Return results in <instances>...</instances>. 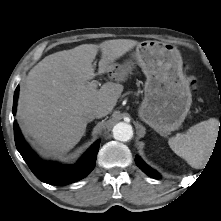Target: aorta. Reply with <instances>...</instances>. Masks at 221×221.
<instances>
[{
  "instance_id": "obj_1",
  "label": "aorta",
  "mask_w": 221,
  "mask_h": 221,
  "mask_svg": "<svg viewBox=\"0 0 221 221\" xmlns=\"http://www.w3.org/2000/svg\"><path fill=\"white\" fill-rule=\"evenodd\" d=\"M113 136L116 140L126 142L133 137L132 126L125 122H119L113 127Z\"/></svg>"
}]
</instances>
